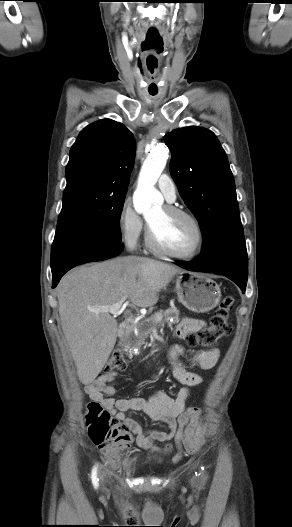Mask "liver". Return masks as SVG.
<instances>
[{
    "mask_svg": "<svg viewBox=\"0 0 292 527\" xmlns=\"http://www.w3.org/2000/svg\"><path fill=\"white\" fill-rule=\"evenodd\" d=\"M182 269L158 260L125 256L83 265L66 274L57 286L62 330L79 380L91 384L116 343L118 324L109 314L95 312L123 297L138 307L157 303L158 294Z\"/></svg>",
    "mask_w": 292,
    "mask_h": 527,
    "instance_id": "liver-1",
    "label": "liver"
}]
</instances>
